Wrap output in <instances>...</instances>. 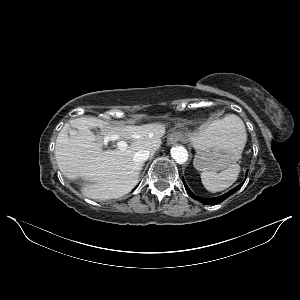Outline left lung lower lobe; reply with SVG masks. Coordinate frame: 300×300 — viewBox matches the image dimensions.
<instances>
[{
    "instance_id": "obj_1",
    "label": "left lung lower lobe",
    "mask_w": 300,
    "mask_h": 300,
    "mask_svg": "<svg viewBox=\"0 0 300 300\" xmlns=\"http://www.w3.org/2000/svg\"><path fill=\"white\" fill-rule=\"evenodd\" d=\"M183 183L185 186V189L187 190L188 194L195 200H198L199 202L206 204V205H216L221 203L222 201H224L226 198H228L229 196H231L232 194H234L235 192H237L241 187L242 184L238 185L237 187H235L234 189L230 190L228 193L221 195L219 197H214V198H202L199 196H195L192 191L188 188L187 184L185 183L184 179H183Z\"/></svg>"
}]
</instances>
